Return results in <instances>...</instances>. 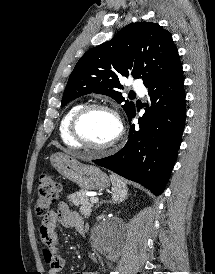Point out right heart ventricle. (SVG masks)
<instances>
[{"instance_id":"1","label":"right heart ventricle","mask_w":215,"mask_h":274,"mask_svg":"<svg viewBox=\"0 0 215 274\" xmlns=\"http://www.w3.org/2000/svg\"><path fill=\"white\" fill-rule=\"evenodd\" d=\"M82 103H77L71 106L62 117L59 124V135L62 142L68 147L80 148L81 146L73 139L70 133V123L74 114L83 106Z\"/></svg>"}]
</instances>
